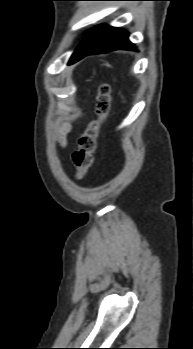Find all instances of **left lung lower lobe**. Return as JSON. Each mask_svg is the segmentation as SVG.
I'll list each match as a JSON object with an SVG mask.
<instances>
[{
  "label": "left lung lower lobe",
  "mask_w": 193,
  "mask_h": 349,
  "mask_svg": "<svg viewBox=\"0 0 193 349\" xmlns=\"http://www.w3.org/2000/svg\"><path fill=\"white\" fill-rule=\"evenodd\" d=\"M118 49L135 50L134 44L128 40V33L119 28L98 25L83 38L68 64H73L87 55Z\"/></svg>",
  "instance_id": "left-lung-lower-lobe-1"
}]
</instances>
